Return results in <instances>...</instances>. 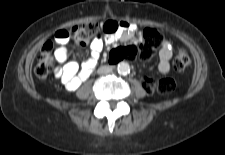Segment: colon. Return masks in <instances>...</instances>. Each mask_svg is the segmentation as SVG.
I'll return each mask as SVG.
<instances>
[{
  "label": "colon",
  "mask_w": 225,
  "mask_h": 155,
  "mask_svg": "<svg viewBox=\"0 0 225 155\" xmlns=\"http://www.w3.org/2000/svg\"><path fill=\"white\" fill-rule=\"evenodd\" d=\"M72 36V41L77 47H85L97 36L100 27L95 22L83 23L67 29ZM161 42V34L152 28H147L142 33V41L139 45H121L111 48L107 55V60L111 64H116L125 58L135 59L138 56L143 60H149L155 53ZM53 44L50 41L44 43L41 48L35 73L37 77L45 81L51 74L54 66L52 55ZM190 64V57L183 47H178L173 59V67L177 71L186 69ZM143 86L149 94H168L175 89V82L172 79L164 78L154 80L145 78Z\"/></svg>",
  "instance_id": "1"
}]
</instances>
